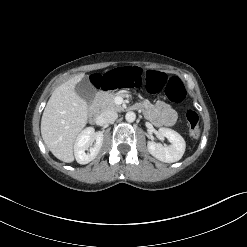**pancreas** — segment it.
I'll use <instances>...</instances> for the list:
<instances>
[{
    "mask_svg": "<svg viewBox=\"0 0 247 247\" xmlns=\"http://www.w3.org/2000/svg\"><path fill=\"white\" fill-rule=\"evenodd\" d=\"M120 94L114 93H100L97 97V103L101 110L114 109L116 111H121L123 108L120 105L115 104L114 98Z\"/></svg>",
    "mask_w": 247,
    "mask_h": 247,
    "instance_id": "1",
    "label": "pancreas"
}]
</instances>
